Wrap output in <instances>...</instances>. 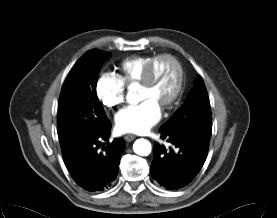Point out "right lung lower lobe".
Listing matches in <instances>:
<instances>
[{
	"instance_id": "98d812e1",
	"label": "right lung lower lobe",
	"mask_w": 277,
	"mask_h": 218,
	"mask_svg": "<svg viewBox=\"0 0 277 218\" xmlns=\"http://www.w3.org/2000/svg\"><path fill=\"white\" fill-rule=\"evenodd\" d=\"M110 128L108 120L102 130L63 154L64 163L73 179L87 191L108 188L117 177L126 143L123 139L108 142Z\"/></svg>"
}]
</instances>
